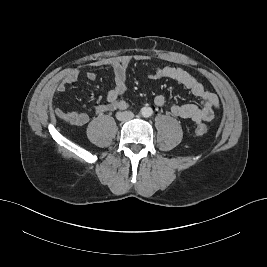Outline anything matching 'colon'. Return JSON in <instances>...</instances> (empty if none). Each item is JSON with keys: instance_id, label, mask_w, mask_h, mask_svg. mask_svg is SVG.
<instances>
[{"instance_id": "5ec220e1", "label": "colon", "mask_w": 267, "mask_h": 267, "mask_svg": "<svg viewBox=\"0 0 267 267\" xmlns=\"http://www.w3.org/2000/svg\"><path fill=\"white\" fill-rule=\"evenodd\" d=\"M195 132L198 135H204L208 132V128L204 125H200L196 127Z\"/></svg>"}]
</instances>
